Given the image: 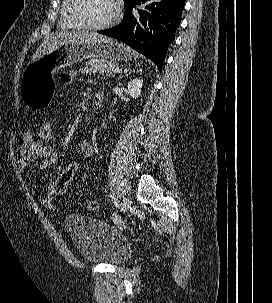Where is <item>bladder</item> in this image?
Returning <instances> with one entry per match:
<instances>
[{
	"label": "bladder",
	"mask_w": 272,
	"mask_h": 303,
	"mask_svg": "<svg viewBox=\"0 0 272 303\" xmlns=\"http://www.w3.org/2000/svg\"><path fill=\"white\" fill-rule=\"evenodd\" d=\"M64 228L79 255L88 263L119 265L131 254L127 238L102 220L73 213L66 216Z\"/></svg>",
	"instance_id": "31cf9c89"
}]
</instances>
